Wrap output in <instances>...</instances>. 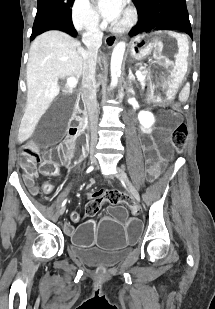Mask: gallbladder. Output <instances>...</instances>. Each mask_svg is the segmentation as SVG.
<instances>
[{"label":"gallbladder","mask_w":215,"mask_h":309,"mask_svg":"<svg viewBox=\"0 0 215 309\" xmlns=\"http://www.w3.org/2000/svg\"><path fill=\"white\" fill-rule=\"evenodd\" d=\"M75 106L74 92H62V96L49 105L50 109L42 115L40 125L33 129V138L38 148H54L55 144H58Z\"/></svg>","instance_id":"obj_1"}]
</instances>
